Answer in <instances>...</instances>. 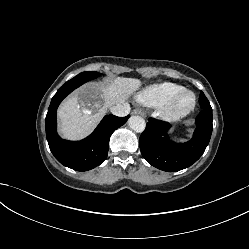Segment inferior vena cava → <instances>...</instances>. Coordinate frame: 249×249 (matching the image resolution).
I'll return each mask as SVG.
<instances>
[{"instance_id":"602c4592","label":"inferior vena cava","mask_w":249,"mask_h":249,"mask_svg":"<svg viewBox=\"0 0 249 249\" xmlns=\"http://www.w3.org/2000/svg\"><path fill=\"white\" fill-rule=\"evenodd\" d=\"M110 111L113 115L124 117L129 114L130 112V105L128 103L124 104H117L110 108Z\"/></svg>"}]
</instances>
